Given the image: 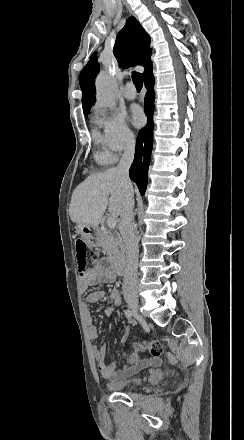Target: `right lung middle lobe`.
<instances>
[{
    "mask_svg": "<svg viewBox=\"0 0 244 440\" xmlns=\"http://www.w3.org/2000/svg\"><path fill=\"white\" fill-rule=\"evenodd\" d=\"M88 112H84V115L86 116Z\"/></svg>",
    "mask_w": 244,
    "mask_h": 440,
    "instance_id": "obj_1",
    "label": "right lung middle lobe"
}]
</instances>
